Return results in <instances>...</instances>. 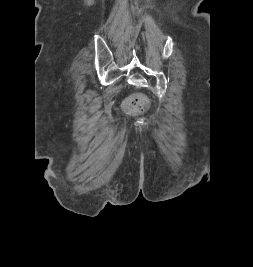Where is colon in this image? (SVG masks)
Masks as SVG:
<instances>
[{"instance_id": "colon-1", "label": "colon", "mask_w": 253, "mask_h": 267, "mask_svg": "<svg viewBox=\"0 0 253 267\" xmlns=\"http://www.w3.org/2000/svg\"><path fill=\"white\" fill-rule=\"evenodd\" d=\"M148 101L142 95H134L125 102V107L130 112L142 111L147 107Z\"/></svg>"}]
</instances>
